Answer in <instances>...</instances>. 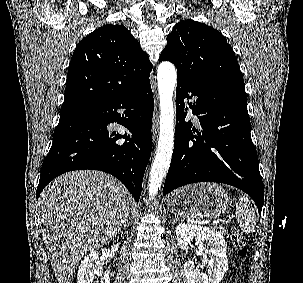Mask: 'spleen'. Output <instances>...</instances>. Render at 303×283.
I'll return each mask as SVG.
<instances>
[{"label":"spleen","instance_id":"3e777b00","mask_svg":"<svg viewBox=\"0 0 303 283\" xmlns=\"http://www.w3.org/2000/svg\"><path fill=\"white\" fill-rule=\"evenodd\" d=\"M236 218L242 232L253 233L255 231L257 224L255 210L245 196H241L236 203Z\"/></svg>","mask_w":303,"mask_h":283}]
</instances>
